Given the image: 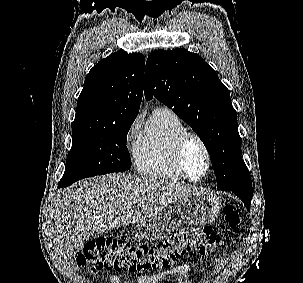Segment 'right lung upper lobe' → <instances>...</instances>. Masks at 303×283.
Wrapping results in <instances>:
<instances>
[{
    "instance_id": "right-lung-upper-lobe-1",
    "label": "right lung upper lobe",
    "mask_w": 303,
    "mask_h": 283,
    "mask_svg": "<svg viewBox=\"0 0 303 283\" xmlns=\"http://www.w3.org/2000/svg\"><path fill=\"white\" fill-rule=\"evenodd\" d=\"M145 57L115 52L87 74L74 122L118 124L135 120L143 96Z\"/></svg>"
}]
</instances>
